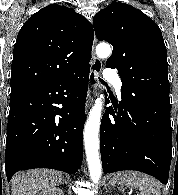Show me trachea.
<instances>
[{
	"mask_svg": "<svg viewBox=\"0 0 178 195\" xmlns=\"http://www.w3.org/2000/svg\"><path fill=\"white\" fill-rule=\"evenodd\" d=\"M100 82H101L102 84L106 85V83H105L102 79H100Z\"/></svg>",
	"mask_w": 178,
	"mask_h": 195,
	"instance_id": "obj_1",
	"label": "trachea"
}]
</instances>
